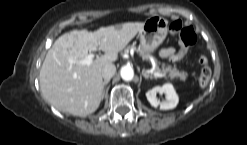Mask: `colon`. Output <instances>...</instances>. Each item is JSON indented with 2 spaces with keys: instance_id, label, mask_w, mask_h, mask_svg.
<instances>
[{
  "instance_id": "5ec220e1",
  "label": "colon",
  "mask_w": 247,
  "mask_h": 145,
  "mask_svg": "<svg viewBox=\"0 0 247 145\" xmlns=\"http://www.w3.org/2000/svg\"><path fill=\"white\" fill-rule=\"evenodd\" d=\"M170 31L172 34L177 36L183 48L192 45L197 41V35L193 27L184 26L181 20L173 21L170 25ZM198 62L202 66L199 77V84L201 87H205L211 79L212 72L210 67L208 66L207 57L200 56L198 58Z\"/></svg>"
}]
</instances>
